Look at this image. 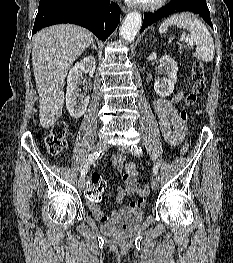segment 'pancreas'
<instances>
[{
    "label": "pancreas",
    "instance_id": "cf45deb5",
    "mask_svg": "<svg viewBox=\"0 0 233 263\" xmlns=\"http://www.w3.org/2000/svg\"><path fill=\"white\" fill-rule=\"evenodd\" d=\"M181 48H182V49H183V48H186V45L182 46Z\"/></svg>",
    "mask_w": 233,
    "mask_h": 263
}]
</instances>
